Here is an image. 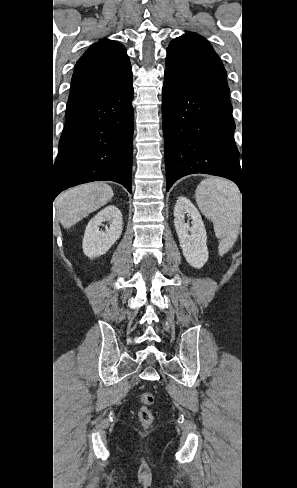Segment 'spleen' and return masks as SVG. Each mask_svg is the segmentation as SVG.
Returning a JSON list of instances; mask_svg holds the SVG:
<instances>
[{
  "instance_id": "3e777b00",
  "label": "spleen",
  "mask_w": 297,
  "mask_h": 488,
  "mask_svg": "<svg viewBox=\"0 0 297 488\" xmlns=\"http://www.w3.org/2000/svg\"><path fill=\"white\" fill-rule=\"evenodd\" d=\"M196 201L201 212L213 222L218 238L232 235L240 207V193L233 183L205 179L197 187Z\"/></svg>"
}]
</instances>
